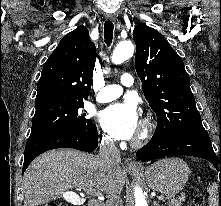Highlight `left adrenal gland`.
Here are the masks:
<instances>
[{
    "label": "left adrenal gland",
    "mask_w": 221,
    "mask_h": 206,
    "mask_svg": "<svg viewBox=\"0 0 221 206\" xmlns=\"http://www.w3.org/2000/svg\"><path fill=\"white\" fill-rule=\"evenodd\" d=\"M154 206H159V204L157 203V201L154 202Z\"/></svg>",
    "instance_id": "1"
}]
</instances>
